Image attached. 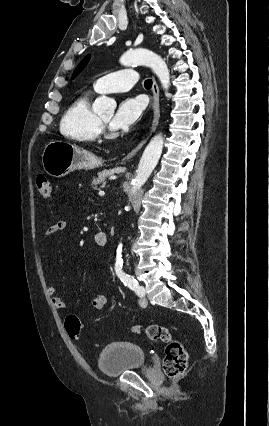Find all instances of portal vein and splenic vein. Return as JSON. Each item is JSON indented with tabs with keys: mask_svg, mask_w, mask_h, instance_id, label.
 <instances>
[{
	"mask_svg": "<svg viewBox=\"0 0 269 426\" xmlns=\"http://www.w3.org/2000/svg\"><path fill=\"white\" fill-rule=\"evenodd\" d=\"M99 196H104L105 192L104 191H99Z\"/></svg>",
	"mask_w": 269,
	"mask_h": 426,
	"instance_id": "obj_1",
	"label": "portal vein and splenic vein"
}]
</instances>
